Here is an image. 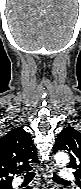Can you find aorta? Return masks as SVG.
Masks as SVG:
<instances>
[{
	"label": "aorta",
	"mask_w": 81,
	"mask_h": 189,
	"mask_svg": "<svg viewBox=\"0 0 81 189\" xmlns=\"http://www.w3.org/2000/svg\"><path fill=\"white\" fill-rule=\"evenodd\" d=\"M55 161L58 166H65L69 162V156L65 152H58L55 155Z\"/></svg>",
	"instance_id": "obj_1"
}]
</instances>
